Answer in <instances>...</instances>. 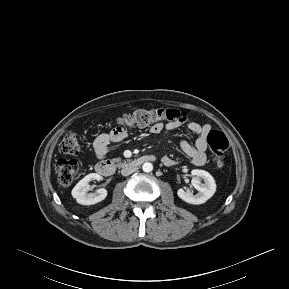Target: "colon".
Segmentation results:
<instances>
[{
  "instance_id": "1",
  "label": "colon",
  "mask_w": 289,
  "mask_h": 289,
  "mask_svg": "<svg viewBox=\"0 0 289 289\" xmlns=\"http://www.w3.org/2000/svg\"><path fill=\"white\" fill-rule=\"evenodd\" d=\"M183 118L182 113L176 109H138L131 113H125L116 119L117 127H146L159 122H177ZM209 148L218 166L223 164L224 153L229 148V141L224 133L211 130L207 136ZM62 154L76 155L79 151V143L74 133L67 134L59 145ZM80 169V163L74 159H61L57 163L56 174L60 185L67 187L76 179Z\"/></svg>"
}]
</instances>
